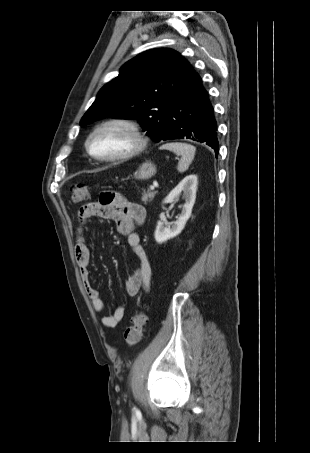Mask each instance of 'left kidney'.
I'll return each instance as SVG.
<instances>
[{"instance_id": "5707ae66", "label": "left kidney", "mask_w": 310, "mask_h": 453, "mask_svg": "<svg viewBox=\"0 0 310 453\" xmlns=\"http://www.w3.org/2000/svg\"><path fill=\"white\" fill-rule=\"evenodd\" d=\"M197 183L198 181L196 175H188L164 199L163 203H172L183 192L185 203L179 218L173 222L171 227L169 225H165L161 221L157 222L154 233V238L157 243L161 244L171 238H174L182 232L192 213V208L196 199Z\"/></svg>"}]
</instances>
